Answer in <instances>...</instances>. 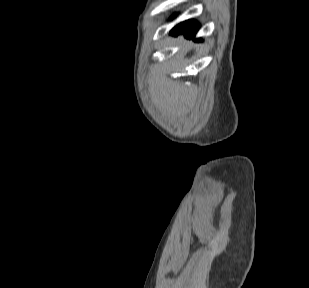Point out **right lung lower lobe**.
<instances>
[{
	"mask_svg": "<svg viewBox=\"0 0 309 288\" xmlns=\"http://www.w3.org/2000/svg\"><path fill=\"white\" fill-rule=\"evenodd\" d=\"M200 25L194 20H187L185 22H182L178 25H176L171 31V35H179L184 34L187 38H194ZM202 39H196V41H201Z\"/></svg>",
	"mask_w": 309,
	"mask_h": 288,
	"instance_id": "obj_1",
	"label": "right lung lower lobe"
}]
</instances>
